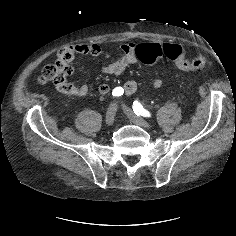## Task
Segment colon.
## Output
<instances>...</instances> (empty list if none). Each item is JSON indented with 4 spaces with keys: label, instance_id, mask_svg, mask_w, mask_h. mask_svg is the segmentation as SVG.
Segmentation results:
<instances>
[{
    "label": "colon",
    "instance_id": "5ec220e1",
    "mask_svg": "<svg viewBox=\"0 0 236 236\" xmlns=\"http://www.w3.org/2000/svg\"><path fill=\"white\" fill-rule=\"evenodd\" d=\"M135 53L137 59L146 65L155 64L161 56L170 59L179 69L185 71L201 70L207 65V60L203 55L189 58L186 56L185 49L178 44L164 43L161 47L140 44ZM70 66L71 60L68 54L63 51L59 52L56 62L44 67L38 80L39 84L63 82L70 72Z\"/></svg>",
    "mask_w": 236,
    "mask_h": 236
}]
</instances>
